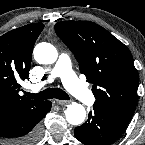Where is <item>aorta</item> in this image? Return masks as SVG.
I'll list each match as a JSON object with an SVG mask.
<instances>
[{
	"instance_id": "762f6f07",
	"label": "aorta",
	"mask_w": 145,
	"mask_h": 145,
	"mask_svg": "<svg viewBox=\"0 0 145 145\" xmlns=\"http://www.w3.org/2000/svg\"><path fill=\"white\" fill-rule=\"evenodd\" d=\"M34 58L40 64H52L57 60L58 52L57 49L50 43L42 42L35 46ZM66 120L72 125H80L86 118L85 108L76 102H72L67 105Z\"/></svg>"
}]
</instances>
